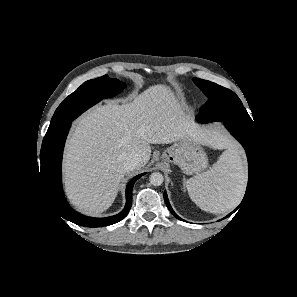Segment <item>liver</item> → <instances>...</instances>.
Here are the masks:
<instances>
[{
	"mask_svg": "<svg viewBox=\"0 0 297 297\" xmlns=\"http://www.w3.org/2000/svg\"><path fill=\"white\" fill-rule=\"evenodd\" d=\"M180 140L205 142L217 147V138L185 115L174 93L164 85L146 89L131 103L110 101L97 105L75 123L64 155L65 189L79 210L98 214L114 202L132 153L144 167L151 157L150 144Z\"/></svg>",
	"mask_w": 297,
	"mask_h": 297,
	"instance_id": "6515ba94",
	"label": "liver"
}]
</instances>
